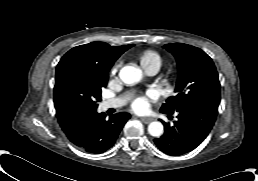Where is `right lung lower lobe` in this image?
Returning a JSON list of instances; mask_svg holds the SVG:
<instances>
[{
	"label": "right lung lower lobe",
	"mask_w": 258,
	"mask_h": 181,
	"mask_svg": "<svg viewBox=\"0 0 258 181\" xmlns=\"http://www.w3.org/2000/svg\"><path fill=\"white\" fill-rule=\"evenodd\" d=\"M58 122L69 140L82 150L100 154L110 149L124 124L128 113H118L106 119L96 109L68 106L56 109Z\"/></svg>",
	"instance_id": "1"
}]
</instances>
